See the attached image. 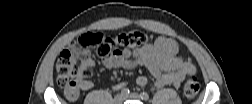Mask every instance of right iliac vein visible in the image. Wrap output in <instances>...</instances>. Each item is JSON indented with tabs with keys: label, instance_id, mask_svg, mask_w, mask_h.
<instances>
[{
	"label": "right iliac vein",
	"instance_id": "obj_1",
	"mask_svg": "<svg viewBox=\"0 0 252 104\" xmlns=\"http://www.w3.org/2000/svg\"><path fill=\"white\" fill-rule=\"evenodd\" d=\"M123 100H124V97L122 95H116L114 97V103L115 104H122Z\"/></svg>",
	"mask_w": 252,
	"mask_h": 104
}]
</instances>
